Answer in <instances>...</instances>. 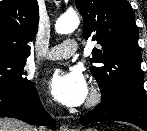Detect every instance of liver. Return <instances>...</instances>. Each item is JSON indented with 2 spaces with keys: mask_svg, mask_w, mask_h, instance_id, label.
I'll list each match as a JSON object with an SVG mask.
<instances>
[{
  "mask_svg": "<svg viewBox=\"0 0 147 131\" xmlns=\"http://www.w3.org/2000/svg\"><path fill=\"white\" fill-rule=\"evenodd\" d=\"M0 131H36L26 123L10 118H0Z\"/></svg>",
  "mask_w": 147,
  "mask_h": 131,
  "instance_id": "1",
  "label": "liver"
}]
</instances>
